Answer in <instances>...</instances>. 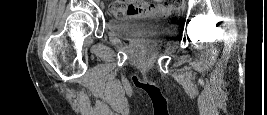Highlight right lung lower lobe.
Segmentation results:
<instances>
[{"instance_id": "1", "label": "right lung lower lobe", "mask_w": 267, "mask_h": 115, "mask_svg": "<svg viewBox=\"0 0 267 115\" xmlns=\"http://www.w3.org/2000/svg\"><path fill=\"white\" fill-rule=\"evenodd\" d=\"M143 89H145L146 91H153V89L149 88V87H142Z\"/></svg>"}]
</instances>
